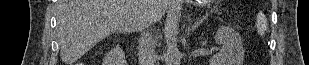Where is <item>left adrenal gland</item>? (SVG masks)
<instances>
[{"mask_svg":"<svg viewBox=\"0 0 309 65\" xmlns=\"http://www.w3.org/2000/svg\"><path fill=\"white\" fill-rule=\"evenodd\" d=\"M205 18H200L199 20H197L193 25L192 23L189 24V27H188V31L189 32H193L198 26H200V24L202 23V21L204 20Z\"/></svg>","mask_w":309,"mask_h":65,"instance_id":"a2214340","label":"left adrenal gland"}]
</instances>
